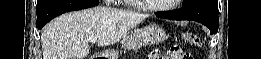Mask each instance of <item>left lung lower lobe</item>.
<instances>
[{"mask_svg": "<svg viewBox=\"0 0 261 59\" xmlns=\"http://www.w3.org/2000/svg\"><path fill=\"white\" fill-rule=\"evenodd\" d=\"M158 17L173 20H194L209 28L211 34L218 31V8L211 6H190L168 13H158Z\"/></svg>", "mask_w": 261, "mask_h": 59, "instance_id": "left-lung-lower-lobe-1", "label": "left lung lower lobe"}]
</instances>
